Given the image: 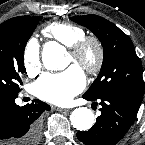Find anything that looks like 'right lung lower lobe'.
<instances>
[{"mask_svg": "<svg viewBox=\"0 0 145 145\" xmlns=\"http://www.w3.org/2000/svg\"><path fill=\"white\" fill-rule=\"evenodd\" d=\"M18 92L0 89V145H37L38 118L51 107L40 100L22 107L15 104Z\"/></svg>", "mask_w": 145, "mask_h": 145, "instance_id": "1", "label": "right lung lower lobe"}]
</instances>
